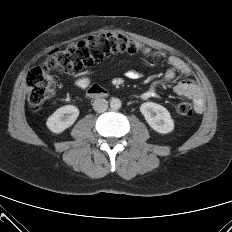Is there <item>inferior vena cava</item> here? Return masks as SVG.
I'll use <instances>...</instances> for the list:
<instances>
[{"mask_svg":"<svg viewBox=\"0 0 232 232\" xmlns=\"http://www.w3.org/2000/svg\"><path fill=\"white\" fill-rule=\"evenodd\" d=\"M107 108H108V101L105 99L99 98L93 102V109L97 113H103L107 110Z\"/></svg>","mask_w":232,"mask_h":232,"instance_id":"obj_1","label":"inferior vena cava"}]
</instances>
